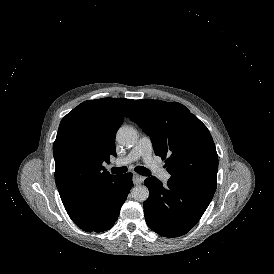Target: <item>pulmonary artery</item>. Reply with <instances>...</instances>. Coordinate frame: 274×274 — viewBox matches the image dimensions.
<instances>
[{
  "label": "pulmonary artery",
  "mask_w": 274,
  "mask_h": 274,
  "mask_svg": "<svg viewBox=\"0 0 274 274\" xmlns=\"http://www.w3.org/2000/svg\"><path fill=\"white\" fill-rule=\"evenodd\" d=\"M139 159H143L146 164L150 165L151 171H156V173L161 174V170L153 167L152 142L151 139L145 135L140 137L137 144L127 154V156L115 160L113 164L120 167L135 162ZM168 178V173L164 171L161 175V179L163 181H167Z\"/></svg>",
  "instance_id": "1"
}]
</instances>
